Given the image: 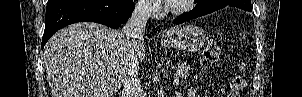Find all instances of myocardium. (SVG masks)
<instances>
[{"instance_id": "f54148a6", "label": "myocardium", "mask_w": 302, "mask_h": 97, "mask_svg": "<svg viewBox=\"0 0 302 97\" xmlns=\"http://www.w3.org/2000/svg\"><path fill=\"white\" fill-rule=\"evenodd\" d=\"M193 2L194 0H182L166 6V10L173 15H181L191 9Z\"/></svg>"}]
</instances>
